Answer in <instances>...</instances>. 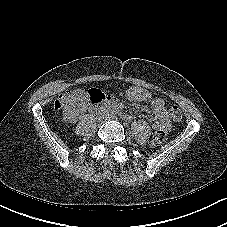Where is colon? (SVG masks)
<instances>
[{
  "instance_id": "5ec220e1",
  "label": "colon",
  "mask_w": 227,
  "mask_h": 227,
  "mask_svg": "<svg viewBox=\"0 0 227 227\" xmlns=\"http://www.w3.org/2000/svg\"><path fill=\"white\" fill-rule=\"evenodd\" d=\"M65 97H66V94H62L58 98V100L55 102V109L56 110H59L62 107L63 102L65 100ZM169 114H170L171 119L175 122H179L182 119V112H181L180 108L177 107V106H172ZM165 141H166L165 132L163 130H158L154 134L151 144H152V146L155 147V146H159V145L163 144Z\"/></svg>"
}]
</instances>
